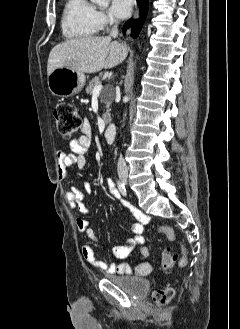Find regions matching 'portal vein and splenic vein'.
Instances as JSON below:
<instances>
[{
	"mask_svg": "<svg viewBox=\"0 0 240 329\" xmlns=\"http://www.w3.org/2000/svg\"><path fill=\"white\" fill-rule=\"evenodd\" d=\"M103 86L101 84L94 87L92 94L93 96H99Z\"/></svg>",
	"mask_w": 240,
	"mask_h": 329,
	"instance_id": "portal-vein-and-splenic-vein-1",
	"label": "portal vein and splenic vein"
}]
</instances>
